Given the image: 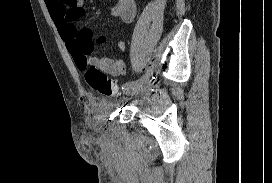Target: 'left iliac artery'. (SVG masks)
Wrapping results in <instances>:
<instances>
[{"label":"left iliac artery","instance_id":"1","mask_svg":"<svg viewBox=\"0 0 272 183\" xmlns=\"http://www.w3.org/2000/svg\"><path fill=\"white\" fill-rule=\"evenodd\" d=\"M150 74L147 72L145 75H143L141 78L135 80V81H130L124 84L122 89L128 91L133 88H142L145 84V82L149 79Z\"/></svg>","mask_w":272,"mask_h":183}]
</instances>
